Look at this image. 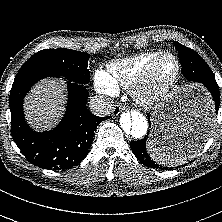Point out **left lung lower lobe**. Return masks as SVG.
Masks as SVG:
<instances>
[{
  "label": "left lung lower lobe",
  "instance_id": "obj_1",
  "mask_svg": "<svg viewBox=\"0 0 222 222\" xmlns=\"http://www.w3.org/2000/svg\"><path fill=\"white\" fill-rule=\"evenodd\" d=\"M182 66V74L184 77L195 83H200L207 88L211 93L215 109L211 110L208 115L197 118L185 125L176 135L170 140V148L173 152H190L196 150L206 140L210 133L211 125L214 118V113H218L220 105V91L216 80L211 79L209 73L191 57L180 58ZM149 126L151 124L150 115H148ZM151 127V126H150ZM148 134L140 140L132 141L130 143L131 150L136 158L146 166L153 168H162L156 164L147 154L146 141ZM163 169H171L163 167Z\"/></svg>",
  "mask_w": 222,
  "mask_h": 222
}]
</instances>
